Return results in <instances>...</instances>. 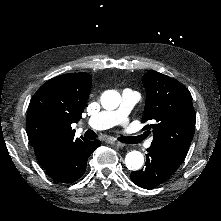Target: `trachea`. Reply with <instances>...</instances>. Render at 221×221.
<instances>
[{
  "label": "trachea",
  "instance_id": "3493384b",
  "mask_svg": "<svg viewBox=\"0 0 221 221\" xmlns=\"http://www.w3.org/2000/svg\"><path fill=\"white\" fill-rule=\"evenodd\" d=\"M84 137L86 139H89V140H95L97 135H96V133L93 130H87L84 133ZM118 140L123 142V143H127V144H134V143H139L140 142L139 138L138 137H134V136H131V137H119Z\"/></svg>",
  "mask_w": 221,
  "mask_h": 221
}]
</instances>
